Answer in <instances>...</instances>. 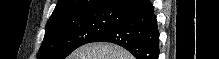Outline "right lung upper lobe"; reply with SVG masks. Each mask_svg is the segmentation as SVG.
Returning a JSON list of instances; mask_svg holds the SVG:
<instances>
[{
  "instance_id": "cb5924a9",
  "label": "right lung upper lobe",
  "mask_w": 219,
  "mask_h": 59,
  "mask_svg": "<svg viewBox=\"0 0 219 59\" xmlns=\"http://www.w3.org/2000/svg\"><path fill=\"white\" fill-rule=\"evenodd\" d=\"M122 1L123 0H58L49 20L93 10L112 9Z\"/></svg>"
}]
</instances>
